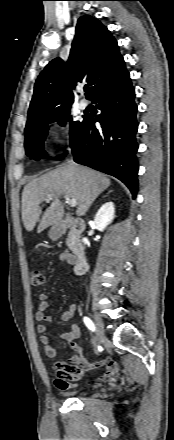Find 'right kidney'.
<instances>
[{
    "instance_id": "1",
    "label": "right kidney",
    "mask_w": 174,
    "mask_h": 440,
    "mask_svg": "<svg viewBox=\"0 0 174 440\" xmlns=\"http://www.w3.org/2000/svg\"><path fill=\"white\" fill-rule=\"evenodd\" d=\"M114 210L113 202H107L100 207L94 218L98 230L103 231L113 221Z\"/></svg>"
}]
</instances>
